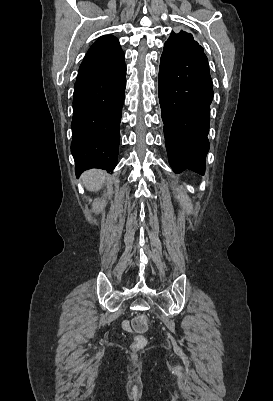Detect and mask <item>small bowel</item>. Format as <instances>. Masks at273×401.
<instances>
[{"instance_id":"c3829d8e","label":"small bowel","mask_w":273,"mask_h":401,"mask_svg":"<svg viewBox=\"0 0 273 401\" xmlns=\"http://www.w3.org/2000/svg\"><path fill=\"white\" fill-rule=\"evenodd\" d=\"M130 322H131L130 319L127 317L122 320L123 327L125 328V332L128 333L127 335H129L133 332V329L131 328L132 325Z\"/></svg>"}]
</instances>
